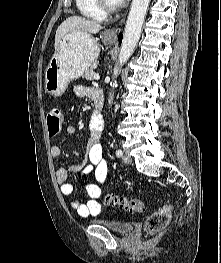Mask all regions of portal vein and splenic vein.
<instances>
[{"label":"portal vein and splenic vein","instance_id":"portal-vein-and-splenic-vein-1","mask_svg":"<svg viewBox=\"0 0 221 263\" xmlns=\"http://www.w3.org/2000/svg\"><path fill=\"white\" fill-rule=\"evenodd\" d=\"M93 79H94V80H99V79H100V76H99L98 74H94V75H93Z\"/></svg>","mask_w":221,"mask_h":263}]
</instances>
